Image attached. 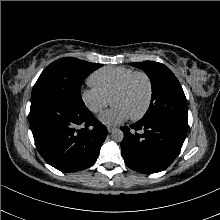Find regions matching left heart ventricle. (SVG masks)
Masks as SVG:
<instances>
[{
	"instance_id": "left-heart-ventricle-1",
	"label": "left heart ventricle",
	"mask_w": 220,
	"mask_h": 220,
	"mask_svg": "<svg viewBox=\"0 0 220 220\" xmlns=\"http://www.w3.org/2000/svg\"><path fill=\"white\" fill-rule=\"evenodd\" d=\"M147 94V83L143 77L138 76L133 79L124 92L114 96L111 102L113 105L122 106L132 116L142 110L147 100Z\"/></svg>"
}]
</instances>
